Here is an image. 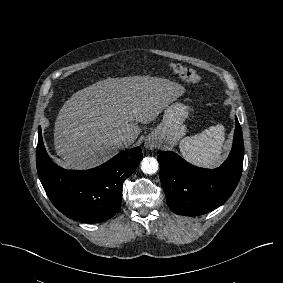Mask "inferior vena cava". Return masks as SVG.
Listing matches in <instances>:
<instances>
[{"label": "inferior vena cava", "mask_w": 283, "mask_h": 283, "mask_svg": "<svg viewBox=\"0 0 283 283\" xmlns=\"http://www.w3.org/2000/svg\"><path fill=\"white\" fill-rule=\"evenodd\" d=\"M127 141H128V138L125 135L118 136L115 139V142L119 145H123V144L127 143Z\"/></svg>", "instance_id": "602c4592"}]
</instances>
